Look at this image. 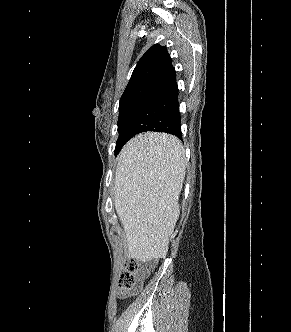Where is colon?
Instances as JSON below:
<instances>
[{"mask_svg":"<svg viewBox=\"0 0 291 332\" xmlns=\"http://www.w3.org/2000/svg\"><path fill=\"white\" fill-rule=\"evenodd\" d=\"M150 270L151 265L141 264L135 260L127 261L118 281L120 295L125 297L137 292Z\"/></svg>","mask_w":291,"mask_h":332,"instance_id":"1","label":"colon"}]
</instances>
